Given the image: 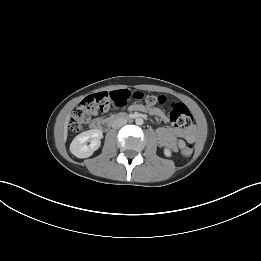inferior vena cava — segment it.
Listing matches in <instances>:
<instances>
[{
	"label": "inferior vena cava",
	"instance_id": "602c4592",
	"mask_svg": "<svg viewBox=\"0 0 261 261\" xmlns=\"http://www.w3.org/2000/svg\"><path fill=\"white\" fill-rule=\"evenodd\" d=\"M127 123V120L125 118H117L113 121L112 123V127L114 129L120 128L123 125H125Z\"/></svg>",
	"mask_w": 261,
	"mask_h": 261
}]
</instances>
